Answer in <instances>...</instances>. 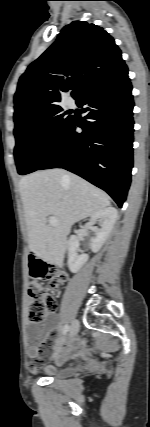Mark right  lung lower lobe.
I'll return each instance as SVG.
<instances>
[{
    "label": "right lung lower lobe",
    "mask_w": 150,
    "mask_h": 427,
    "mask_svg": "<svg viewBox=\"0 0 150 427\" xmlns=\"http://www.w3.org/2000/svg\"><path fill=\"white\" fill-rule=\"evenodd\" d=\"M131 90L124 65L84 93L77 104L86 106V116L72 119L37 170L71 171L105 190L121 208L133 167Z\"/></svg>",
    "instance_id": "obj_1"
}]
</instances>
